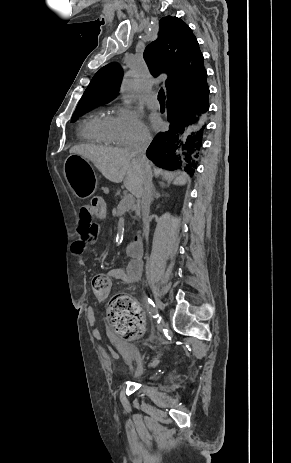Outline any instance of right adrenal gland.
<instances>
[{
    "mask_svg": "<svg viewBox=\"0 0 291 463\" xmlns=\"http://www.w3.org/2000/svg\"><path fill=\"white\" fill-rule=\"evenodd\" d=\"M160 197V194L156 191L155 188H153V191H152V200H154L155 198H159Z\"/></svg>",
    "mask_w": 291,
    "mask_h": 463,
    "instance_id": "2a0ac1e0",
    "label": "right adrenal gland"
}]
</instances>
